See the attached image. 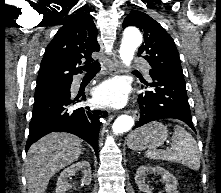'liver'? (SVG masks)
<instances>
[{"label": "liver", "mask_w": 221, "mask_h": 193, "mask_svg": "<svg viewBox=\"0 0 221 193\" xmlns=\"http://www.w3.org/2000/svg\"><path fill=\"white\" fill-rule=\"evenodd\" d=\"M81 151V140L63 132L47 134L32 144L25 161L28 193H45L51 177L76 161Z\"/></svg>", "instance_id": "6515ba94"}]
</instances>
